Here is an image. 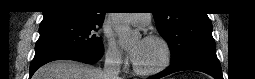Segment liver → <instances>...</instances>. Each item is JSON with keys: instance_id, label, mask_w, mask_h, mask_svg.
Segmentation results:
<instances>
[{"instance_id": "obj_1", "label": "liver", "mask_w": 255, "mask_h": 79, "mask_svg": "<svg viewBox=\"0 0 255 79\" xmlns=\"http://www.w3.org/2000/svg\"><path fill=\"white\" fill-rule=\"evenodd\" d=\"M33 79H105L101 69L73 60H56L39 68Z\"/></svg>"}]
</instances>
